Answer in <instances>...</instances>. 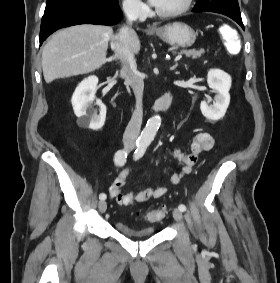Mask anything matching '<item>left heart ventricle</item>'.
I'll return each instance as SVG.
<instances>
[{"label": "left heart ventricle", "instance_id": "left-heart-ventricle-1", "mask_svg": "<svg viewBox=\"0 0 280 283\" xmlns=\"http://www.w3.org/2000/svg\"><path fill=\"white\" fill-rule=\"evenodd\" d=\"M184 0H160L159 4L156 6L157 9L161 11H170L178 8L182 5Z\"/></svg>", "mask_w": 280, "mask_h": 283}]
</instances>
